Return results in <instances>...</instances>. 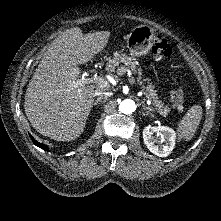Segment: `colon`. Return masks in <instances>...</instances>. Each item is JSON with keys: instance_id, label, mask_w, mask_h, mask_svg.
<instances>
[{"instance_id": "colon-1", "label": "colon", "mask_w": 221, "mask_h": 221, "mask_svg": "<svg viewBox=\"0 0 221 221\" xmlns=\"http://www.w3.org/2000/svg\"><path fill=\"white\" fill-rule=\"evenodd\" d=\"M152 54L155 60L165 62L172 57L173 50L169 42L163 37H156L152 47ZM170 98L177 110H181L184 104V93L179 86L170 91Z\"/></svg>"}]
</instances>
